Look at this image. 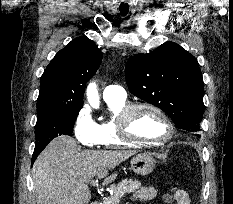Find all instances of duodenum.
Listing matches in <instances>:
<instances>
[{
  "mask_svg": "<svg viewBox=\"0 0 233 204\" xmlns=\"http://www.w3.org/2000/svg\"><path fill=\"white\" fill-rule=\"evenodd\" d=\"M91 204H99L98 202H93V203H91Z\"/></svg>",
  "mask_w": 233,
  "mask_h": 204,
  "instance_id": "410a0bca",
  "label": "duodenum"
}]
</instances>
